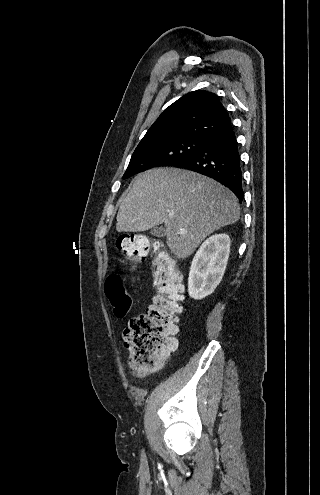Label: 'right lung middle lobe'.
Wrapping results in <instances>:
<instances>
[{"label": "right lung middle lobe", "instance_id": "right-lung-middle-lobe-1", "mask_svg": "<svg viewBox=\"0 0 320 495\" xmlns=\"http://www.w3.org/2000/svg\"><path fill=\"white\" fill-rule=\"evenodd\" d=\"M204 142L203 138H185L150 146H137L123 179L153 167L174 166L186 161Z\"/></svg>", "mask_w": 320, "mask_h": 495}]
</instances>
